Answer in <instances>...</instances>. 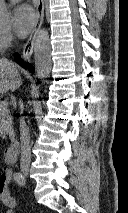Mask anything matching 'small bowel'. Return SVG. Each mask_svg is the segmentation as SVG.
Listing matches in <instances>:
<instances>
[{
    "label": "small bowel",
    "instance_id": "small-bowel-1",
    "mask_svg": "<svg viewBox=\"0 0 128 213\" xmlns=\"http://www.w3.org/2000/svg\"><path fill=\"white\" fill-rule=\"evenodd\" d=\"M13 171L5 167L0 173V201L7 208L5 213H15L17 206L15 198L11 195L9 184L12 181Z\"/></svg>",
    "mask_w": 128,
    "mask_h": 213
}]
</instances>
